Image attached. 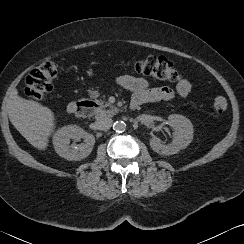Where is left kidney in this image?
Instances as JSON below:
<instances>
[{
	"label": "left kidney",
	"mask_w": 244,
	"mask_h": 244,
	"mask_svg": "<svg viewBox=\"0 0 244 244\" xmlns=\"http://www.w3.org/2000/svg\"><path fill=\"white\" fill-rule=\"evenodd\" d=\"M170 126L174 129L171 143L163 144L161 139L154 136L150 139L153 151L160 155H173L185 149L193 140L194 129L191 121L185 116L171 114L168 116Z\"/></svg>",
	"instance_id": "1"
}]
</instances>
